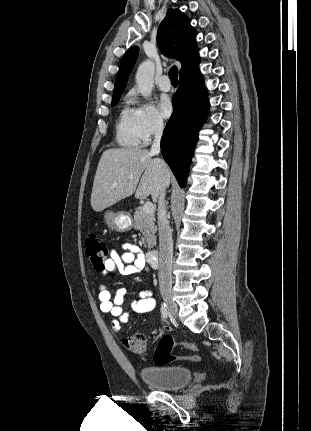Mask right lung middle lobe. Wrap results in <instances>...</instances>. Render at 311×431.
Here are the masks:
<instances>
[{
	"instance_id": "obj_1",
	"label": "right lung middle lobe",
	"mask_w": 311,
	"mask_h": 431,
	"mask_svg": "<svg viewBox=\"0 0 311 431\" xmlns=\"http://www.w3.org/2000/svg\"><path fill=\"white\" fill-rule=\"evenodd\" d=\"M119 98H120V96H119V97H115V98H113V99H112L111 106H115V105L117 104V102H118Z\"/></svg>"
}]
</instances>
